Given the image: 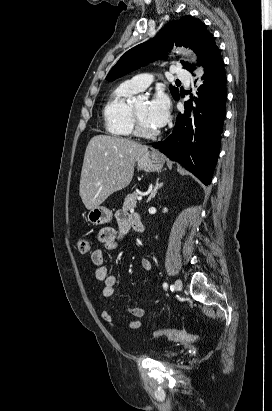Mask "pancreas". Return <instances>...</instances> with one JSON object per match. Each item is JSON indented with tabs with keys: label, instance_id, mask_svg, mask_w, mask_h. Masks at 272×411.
<instances>
[{
	"label": "pancreas",
	"instance_id": "cf45deb5",
	"mask_svg": "<svg viewBox=\"0 0 272 411\" xmlns=\"http://www.w3.org/2000/svg\"><path fill=\"white\" fill-rule=\"evenodd\" d=\"M137 192H133L131 194H128L125 197L124 203H123V209L125 210H130L133 209L137 206Z\"/></svg>",
	"mask_w": 272,
	"mask_h": 411
}]
</instances>
